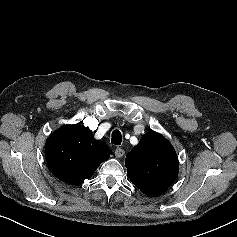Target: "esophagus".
Here are the masks:
<instances>
[{
    "instance_id": "obj_1",
    "label": "esophagus",
    "mask_w": 237,
    "mask_h": 237,
    "mask_svg": "<svg viewBox=\"0 0 237 237\" xmlns=\"http://www.w3.org/2000/svg\"><path fill=\"white\" fill-rule=\"evenodd\" d=\"M114 153L117 158H121L123 157L125 151L122 148H116Z\"/></svg>"
}]
</instances>
